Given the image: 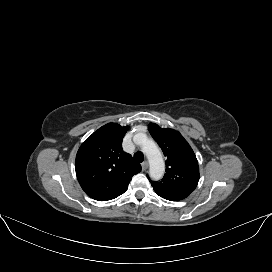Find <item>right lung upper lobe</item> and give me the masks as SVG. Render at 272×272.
I'll list each match as a JSON object with an SVG mask.
<instances>
[{
    "instance_id": "1",
    "label": "right lung upper lobe",
    "mask_w": 272,
    "mask_h": 272,
    "mask_svg": "<svg viewBox=\"0 0 272 272\" xmlns=\"http://www.w3.org/2000/svg\"><path fill=\"white\" fill-rule=\"evenodd\" d=\"M127 130L128 126L108 123L79 148L76 175L89 197L99 201L114 199L128 189L132 176L141 171V166L122 150Z\"/></svg>"
}]
</instances>
